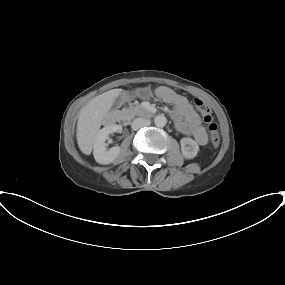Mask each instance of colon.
<instances>
[{
  "label": "colon",
  "mask_w": 285,
  "mask_h": 285,
  "mask_svg": "<svg viewBox=\"0 0 285 285\" xmlns=\"http://www.w3.org/2000/svg\"><path fill=\"white\" fill-rule=\"evenodd\" d=\"M193 103L202 115L203 121L206 123L210 132L212 144L218 146L220 143V134L218 125L214 120V114L211 108L200 98H194Z\"/></svg>",
  "instance_id": "1"
}]
</instances>
